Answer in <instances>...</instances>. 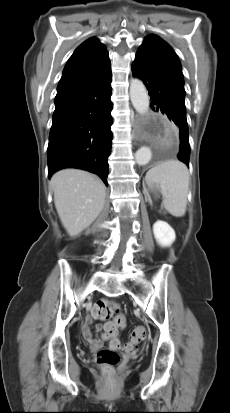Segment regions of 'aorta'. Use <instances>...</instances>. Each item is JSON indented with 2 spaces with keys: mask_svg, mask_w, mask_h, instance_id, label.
I'll list each match as a JSON object with an SVG mask.
<instances>
[{
  "mask_svg": "<svg viewBox=\"0 0 230 413\" xmlns=\"http://www.w3.org/2000/svg\"><path fill=\"white\" fill-rule=\"evenodd\" d=\"M130 98L134 109L139 114H146L149 109L150 100L148 92L143 82L138 78H132L130 83ZM152 157L149 147L143 146L135 153V160L138 165H146Z\"/></svg>",
  "mask_w": 230,
  "mask_h": 413,
  "instance_id": "1",
  "label": "aorta"
}]
</instances>
